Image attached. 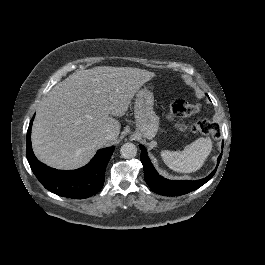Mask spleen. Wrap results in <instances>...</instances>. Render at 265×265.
I'll return each instance as SVG.
<instances>
[{
    "mask_svg": "<svg viewBox=\"0 0 265 265\" xmlns=\"http://www.w3.org/2000/svg\"><path fill=\"white\" fill-rule=\"evenodd\" d=\"M213 150L210 138H198L185 146L182 152L163 150L160 156L164 164L172 171L182 174H192L200 170Z\"/></svg>",
    "mask_w": 265,
    "mask_h": 265,
    "instance_id": "1",
    "label": "spleen"
}]
</instances>
